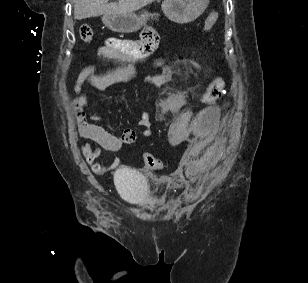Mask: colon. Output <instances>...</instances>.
Wrapping results in <instances>:
<instances>
[{
    "label": "colon",
    "mask_w": 308,
    "mask_h": 283,
    "mask_svg": "<svg viewBox=\"0 0 308 283\" xmlns=\"http://www.w3.org/2000/svg\"><path fill=\"white\" fill-rule=\"evenodd\" d=\"M218 18L219 15L217 12L210 13L204 22L203 30L206 32L211 30L217 23ZM79 35L83 41L90 42L93 38V30L91 26L88 24H82L79 28ZM224 85V80L221 77L212 81L202 96V102L204 104H212L217 101L223 94ZM143 161L147 167L152 169H160L163 167V162L151 153H144Z\"/></svg>",
    "instance_id": "1"
}]
</instances>
